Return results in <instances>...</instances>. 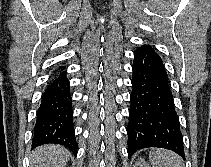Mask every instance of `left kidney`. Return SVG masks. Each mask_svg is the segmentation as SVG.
Returning <instances> with one entry per match:
<instances>
[{
    "label": "left kidney",
    "instance_id": "5707ae66",
    "mask_svg": "<svg viewBox=\"0 0 211 167\" xmlns=\"http://www.w3.org/2000/svg\"><path fill=\"white\" fill-rule=\"evenodd\" d=\"M134 167H150L143 159H139Z\"/></svg>",
    "mask_w": 211,
    "mask_h": 167
}]
</instances>
